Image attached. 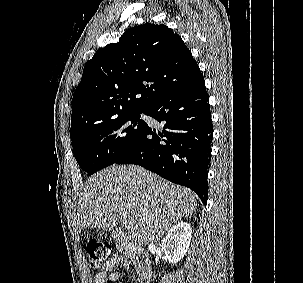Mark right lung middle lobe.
<instances>
[{"label":"right lung middle lobe","instance_id":"1","mask_svg":"<svg viewBox=\"0 0 303 283\" xmlns=\"http://www.w3.org/2000/svg\"><path fill=\"white\" fill-rule=\"evenodd\" d=\"M141 113L146 111L130 112L70 134L79 166L91 175L129 152L147 128V123L140 119Z\"/></svg>","mask_w":303,"mask_h":283}]
</instances>
